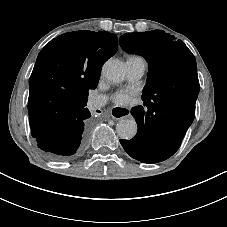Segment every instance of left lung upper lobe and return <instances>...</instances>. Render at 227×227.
<instances>
[{"mask_svg": "<svg viewBox=\"0 0 227 227\" xmlns=\"http://www.w3.org/2000/svg\"><path fill=\"white\" fill-rule=\"evenodd\" d=\"M121 47L143 56L149 63L142 100L175 96L187 85H199L195 57L188 47L162 30L129 33L120 37Z\"/></svg>", "mask_w": 227, "mask_h": 227, "instance_id": "1", "label": "left lung upper lobe"}]
</instances>
